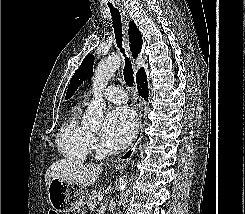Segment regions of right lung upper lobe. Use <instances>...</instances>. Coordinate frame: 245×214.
Returning a JSON list of instances; mask_svg holds the SVG:
<instances>
[{
  "label": "right lung upper lobe",
  "mask_w": 245,
  "mask_h": 214,
  "mask_svg": "<svg viewBox=\"0 0 245 214\" xmlns=\"http://www.w3.org/2000/svg\"><path fill=\"white\" fill-rule=\"evenodd\" d=\"M129 41L131 42L129 46L132 51V55L134 58H136L142 48V36L133 22H131L129 25ZM144 73V68H141L136 74V79Z\"/></svg>",
  "instance_id": "1"
}]
</instances>
